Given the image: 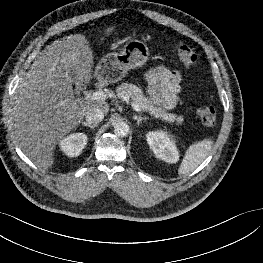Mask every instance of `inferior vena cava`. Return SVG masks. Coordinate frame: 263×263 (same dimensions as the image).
Wrapping results in <instances>:
<instances>
[{
  "instance_id": "1",
  "label": "inferior vena cava",
  "mask_w": 263,
  "mask_h": 263,
  "mask_svg": "<svg viewBox=\"0 0 263 263\" xmlns=\"http://www.w3.org/2000/svg\"><path fill=\"white\" fill-rule=\"evenodd\" d=\"M85 118L87 123L97 125L104 119V111L99 107H93L86 112Z\"/></svg>"
}]
</instances>
